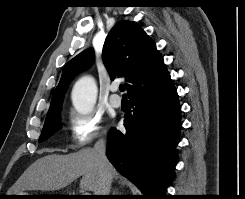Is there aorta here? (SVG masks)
Segmentation results:
<instances>
[{"label": "aorta", "mask_w": 245, "mask_h": 199, "mask_svg": "<svg viewBox=\"0 0 245 199\" xmlns=\"http://www.w3.org/2000/svg\"><path fill=\"white\" fill-rule=\"evenodd\" d=\"M96 97L97 86L92 77H82L75 83L72 91V102L78 112L86 114L92 111Z\"/></svg>", "instance_id": "obj_1"}]
</instances>
